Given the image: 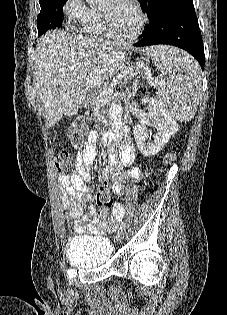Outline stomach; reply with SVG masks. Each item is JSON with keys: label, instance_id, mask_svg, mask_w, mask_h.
<instances>
[{"label": "stomach", "instance_id": "0dacf381", "mask_svg": "<svg viewBox=\"0 0 227 315\" xmlns=\"http://www.w3.org/2000/svg\"><path fill=\"white\" fill-rule=\"evenodd\" d=\"M116 57H118L119 59H116V62L113 64L112 71L119 69L121 65L120 57L119 56H116ZM106 73H108V70H106V68H97L96 71H91L90 76L91 78H98V80H108V77H103L104 75H106ZM90 89H93V86H90ZM82 98L86 101H89V93L87 92V85L82 90Z\"/></svg>", "mask_w": 227, "mask_h": 315}]
</instances>
